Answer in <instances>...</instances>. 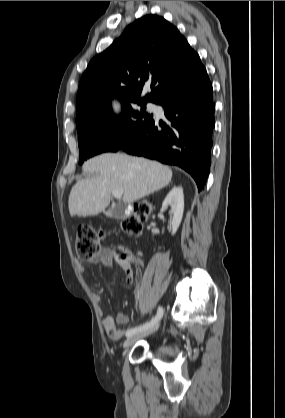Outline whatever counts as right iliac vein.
I'll list each match as a JSON object with an SVG mask.
<instances>
[{
	"label": "right iliac vein",
	"instance_id": "obj_1",
	"mask_svg": "<svg viewBox=\"0 0 285 418\" xmlns=\"http://www.w3.org/2000/svg\"><path fill=\"white\" fill-rule=\"evenodd\" d=\"M159 325H160V323H157L154 326H152L151 328H149L148 330H145V331H142V332H137L135 334H132V335L128 336L127 339L124 342V348H127V347L133 345L139 339L154 333L159 328Z\"/></svg>",
	"mask_w": 285,
	"mask_h": 418
}]
</instances>
